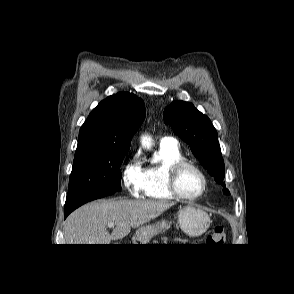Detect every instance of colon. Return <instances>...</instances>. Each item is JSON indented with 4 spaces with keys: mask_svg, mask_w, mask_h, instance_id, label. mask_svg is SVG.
Wrapping results in <instances>:
<instances>
[{
    "mask_svg": "<svg viewBox=\"0 0 294 294\" xmlns=\"http://www.w3.org/2000/svg\"><path fill=\"white\" fill-rule=\"evenodd\" d=\"M226 239V233L222 226H215L208 235L207 241L213 245H224Z\"/></svg>",
    "mask_w": 294,
    "mask_h": 294,
    "instance_id": "colon-1",
    "label": "colon"
}]
</instances>
